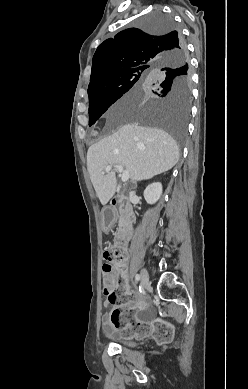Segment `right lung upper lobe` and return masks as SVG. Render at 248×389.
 <instances>
[{
  "label": "right lung upper lobe",
  "mask_w": 248,
  "mask_h": 389,
  "mask_svg": "<svg viewBox=\"0 0 248 389\" xmlns=\"http://www.w3.org/2000/svg\"><path fill=\"white\" fill-rule=\"evenodd\" d=\"M180 37L181 34L176 30L155 34L139 28H129L119 32L114 38L105 40L93 56L88 94L108 85L124 72L151 71L174 56L187 59L184 43L179 47Z\"/></svg>",
  "instance_id": "cb5924a9"
}]
</instances>
